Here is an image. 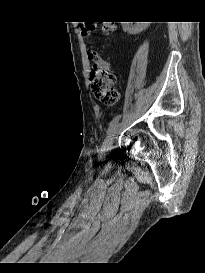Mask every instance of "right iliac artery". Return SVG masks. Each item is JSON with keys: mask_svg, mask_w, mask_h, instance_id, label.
<instances>
[{"mask_svg": "<svg viewBox=\"0 0 205 273\" xmlns=\"http://www.w3.org/2000/svg\"><path fill=\"white\" fill-rule=\"evenodd\" d=\"M121 118V115L118 114L116 115L113 120L110 122L109 127L107 129V134L116 126L117 122L119 121V119Z\"/></svg>", "mask_w": 205, "mask_h": 273, "instance_id": "82829eb1", "label": "right iliac artery"}]
</instances>
